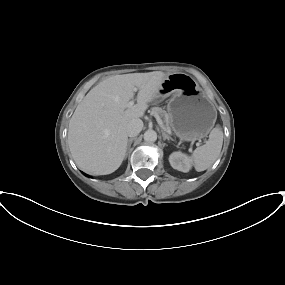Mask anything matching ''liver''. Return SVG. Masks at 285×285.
I'll return each mask as SVG.
<instances>
[{
  "label": "liver",
  "instance_id": "obj_1",
  "mask_svg": "<svg viewBox=\"0 0 285 285\" xmlns=\"http://www.w3.org/2000/svg\"><path fill=\"white\" fill-rule=\"evenodd\" d=\"M168 75L161 71L115 75L87 93L68 129L69 149L81 170L106 175L120 167L127 150L128 123L144 115ZM135 87L137 103L129 108Z\"/></svg>",
  "mask_w": 285,
  "mask_h": 285
}]
</instances>
